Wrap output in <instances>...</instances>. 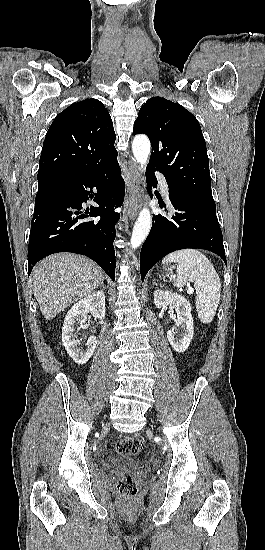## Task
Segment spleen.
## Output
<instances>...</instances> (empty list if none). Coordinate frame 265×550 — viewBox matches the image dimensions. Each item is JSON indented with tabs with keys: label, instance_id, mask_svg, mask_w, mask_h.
I'll return each instance as SVG.
<instances>
[{
	"label": "spleen",
	"instance_id": "spleen-1",
	"mask_svg": "<svg viewBox=\"0 0 265 550\" xmlns=\"http://www.w3.org/2000/svg\"><path fill=\"white\" fill-rule=\"evenodd\" d=\"M170 262H178L177 276H171L174 286L184 287L186 283L194 282L198 318L204 324L210 323L217 311L221 294L220 278L213 265L196 249L179 250L162 260L163 264Z\"/></svg>",
	"mask_w": 265,
	"mask_h": 550
}]
</instances>
